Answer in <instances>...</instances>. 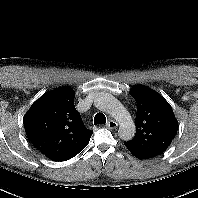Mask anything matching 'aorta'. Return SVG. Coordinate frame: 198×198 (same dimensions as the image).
<instances>
[{
    "mask_svg": "<svg viewBox=\"0 0 198 198\" xmlns=\"http://www.w3.org/2000/svg\"><path fill=\"white\" fill-rule=\"evenodd\" d=\"M98 109L107 112L119 123L118 134L122 140H131L135 134V125L126 108L112 95L100 93L95 98Z\"/></svg>",
    "mask_w": 198,
    "mask_h": 198,
    "instance_id": "aorta-1",
    "label": "aorta"
}]
</instances>
